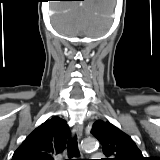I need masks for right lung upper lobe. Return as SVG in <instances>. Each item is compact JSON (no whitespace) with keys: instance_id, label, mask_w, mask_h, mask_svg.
<instances>
[{"instance_id":"cb5924a9","label":"right lung upper lobe","mask_w":160,"mask_h":160,"mask_svg":"<svg viewBox=\"0 0 160 160\" xmlns=\"http://www.w3.org/2000/svg\"><path fill=\"white\" fill-rule=\"evenodd\" d=\"M70 130L67 122L59 117L37 127L14 152L12 160H54L63 152Z\"/></svg>"}]
</instances>
